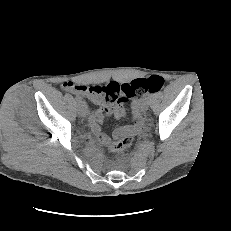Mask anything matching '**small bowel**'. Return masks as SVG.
<instances>
[{
  "label": "small bowel",
  "instance_id": "c3829d8e",
  "mask_svg": "<svg viewBox=\"0 0 231 231\" xmlns=\"http://www.w3.org/2000/svg\"><path fill=\"white\" fill-rule=\"evenodd\" d=\"M111 84L118 83L111 82L103 87L97 85L87 86L75 84L70 81L62 84L63 89L66 91L85 96L98 106L90 114L89 124L98 141L103 145H108L111 142V139L101 130L100 125L108 116H113L116 119L123 118L126 115L125 104L128 101V99L123 97L117 100H112L108 95V86ZM137 127L138 124L134 126L120 127L114 131L113 137L114 139H118L127 132H134Z\"/></svg>",
  "mask_w": 231,
  "mask_h": 231
}]
</instances>
